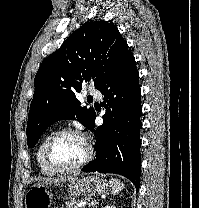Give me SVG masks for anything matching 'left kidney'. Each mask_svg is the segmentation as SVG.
Masks as SVG:
<instances>
[{"instance_id": "5707ae66", "label": "left kidney", "mask_w": 199, "mask_h": 208, "mask_svg": "<svg viewBox=\"0 0 199 208\" xmlns=\"http://www.w3.org/2000/svg\"><path fill=\"white\" fill-rule=\"evenodd\" d=\"M105 208H116V207L111 205V206H106Z\"/></svg>"}]
</instances>
